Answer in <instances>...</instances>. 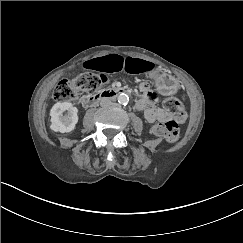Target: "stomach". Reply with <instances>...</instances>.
<instances>
[{"mask_svg":"<svg viewBox=\"0 0 243 243\" xmlns=\"http://www.w3.org/2000/svg\"><path fill=\"white\" fill-rule=\"evenodd\" d=\"M148 76L154 79L158 90L163 95H174L177 92L178 82L171 75L151 70Z\"/></svg>","mask_w":243,"mask_h":243,"instance_id":"obj_1","label":"stomach"}]
</instances>
